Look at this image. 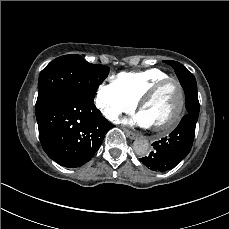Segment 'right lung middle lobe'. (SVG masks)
<instances>
[{
    "mask_svg": "<svg viewBox=\"0 0 229 229\" xmlns=\"http://www.w3.org/2000/svg\"><path fill=\"white\" fill-rule=\"evenodd\" d=\"M108 73L109 67L88 63L80 55L56 58L39 75L35 110L61 91H75L93 100L98 86Z\"/></svg>",
    "mask_w": 229,
    "mask_h": 229,
    "instance_id": "obj_1",
    "label": "right lung middle lobe"
}]
</instances>
